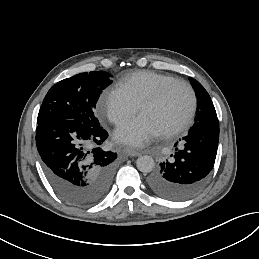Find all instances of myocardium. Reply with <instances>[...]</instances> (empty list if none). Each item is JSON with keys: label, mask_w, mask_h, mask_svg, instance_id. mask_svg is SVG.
<instances>
[{"label": "myocardium", "mask_w": 259, "mask_h": 259, "mask_svg": "<svg viewBox=\"0 0 259 259\" xmlns=\"http://www.w3.org/2000/svg\"><path fill=\"white\" fill-rule=\"evenodd\" d=\"M176 84L183 85L189 91L190 106H189L187 114L184 116V118L181 121H179L173 128H171L163 133H160V135L164 138H170V137H173V136L179 134L193 119L196 109H197V95H196V92H195V89L193 88V86L185 80L173 78L171 80H168V81L162 83L158 87L157 91L151 97L145 99L139 105V113L146 107L156 105L158 102H160V100L163 98L165 93L172 86H174Z\"/></svg>", "instance_id": "myocardium-1"}]
</instances>
